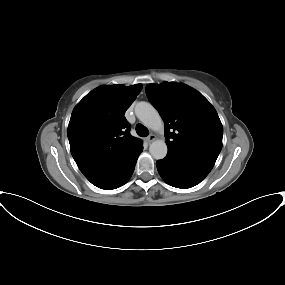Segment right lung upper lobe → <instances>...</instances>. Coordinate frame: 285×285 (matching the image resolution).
Segmentation results:
<instances>
[{"label":"right lung upper lobe","instance_id":"1","mask_svg":"<svg viewBox=\"0 0 285 285\" xmlns=\"http://www.w3.org/2000/svg\"><path fill=\"white\" fill-rule=\"evenodd\" d=\"M141 89V84L100 86L74 108L68 126L70 150L88 180L142 144L130 134L124 117Z\"/></svg>","mask_w":285,"mask_h":285}]
</instances>
